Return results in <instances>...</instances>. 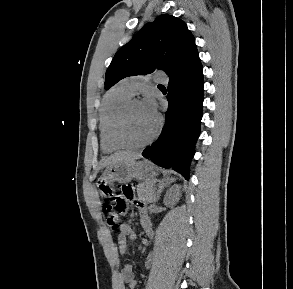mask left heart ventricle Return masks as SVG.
<instances>
[{
  "mask_svg": "<svg viewBox=\"0 0 293 289\" xmlns=\"http://www.w3.org/2000/svg\"><path fill=\"white\" fill-rule=\"evenodd\" d=\"M157 126V117L152 115L145 105H134L125 120L124 136L131 143H142L154 132Z\"/></svg>",
  "mask_w": 293,
  "mask_h": 289,
  "instance_id": "b2bd125f",
  "label": "left heart ventricle"
}]
</instances>
